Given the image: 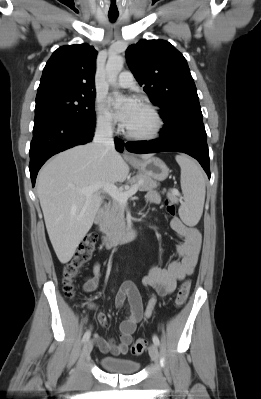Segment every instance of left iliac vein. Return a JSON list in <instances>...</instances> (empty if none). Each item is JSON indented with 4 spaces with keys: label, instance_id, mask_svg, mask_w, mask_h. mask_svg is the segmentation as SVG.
Segmentation results:
<instances>
[{
    "label": "left iliac vein",
    "instance_id": "obj_1",
    "mask_svg": "<svg viewBox=\"0 0 261 399\" xmlns=\"http://www.w3.org/2000/svg\"><path fill=\"white\" fill-rule=\"evenodd\" d=\"M149 355L151 357V359L157 363L159 360V352H158V348L155 344H151L149 346Z\"/></svg>",
    "mask_w": 261,
    "mask_h": 399
}]
</instances>
